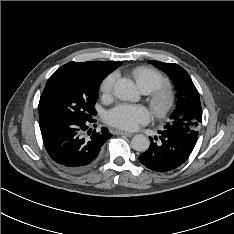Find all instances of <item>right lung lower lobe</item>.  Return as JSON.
<instances>
[{
    "mask_svg": "<svg viewBox=\"0 0 234 234\" xmlns=\"http://www.w3.org/2000/svg\"><path fill=\"white\" fill-rule=\"evenodd\" d=\"M40 122L45 148L51 159L69 171L92 165L103 144L112 136L107 128L100 132L88 129L94 119L50 117ZM87 132L88 136H84Z\"/></svg>",
    "mask_w": 234,
    "mask_h": 234,
    "instance_id": "obj_1",
    "label": "right lung lower lobe"
}]
</instances>
